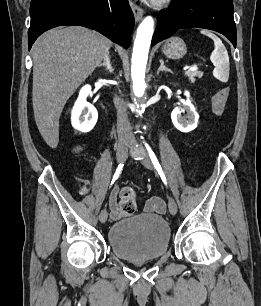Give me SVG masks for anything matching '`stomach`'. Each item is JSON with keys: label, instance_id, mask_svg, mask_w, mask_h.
Masks as SVG:
<instances>
[{"label": "stomach", "instance_id": "obj_1", "mask_svg": "<svg viewBox=\"0 0 261 306\" xmlns=\"http://www.w3.org/2000/svg\"><path fill=\"white\" fill-rule=\"evenodd\" d=\"M163 53L171 59H180L187 53L185 42L179 37H171L162 48Z\"/></svg>", "mask_w": 261, "mask_h": 306}]
</instances>
